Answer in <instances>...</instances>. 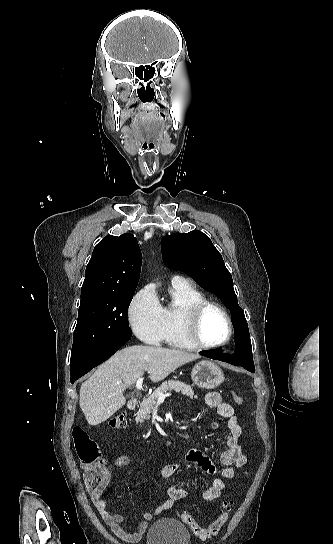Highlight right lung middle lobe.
<instances>
[{"label": "right lung middle lobe", "instance_id": "right-lung-middle-lobe-1", "mask_svg": "<svg viewBox=\"0 0 333 544\" xmlns=\"http://www.w3.org/2000/svg\"><path fill=\"white\" fill-rule=\"evenodd\" d=\"M134 292L107 293L80 304L70 366L81 361L100 344L120 334H132L128 324V307Z\"/></svg>", "mask_w": 333, "mask_h": 544}]
</instances>
